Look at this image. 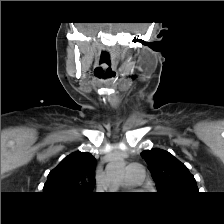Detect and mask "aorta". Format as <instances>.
Masks as SVG:
<instances>
[{
	"mask_svg": "<svg viewBox=\"0 0 224 224\" xmlns=\"http://www.w3.org/2000/svg\"><path fill=\"white\" fill-rule=\"evenodd\" d=\"M125 171V162L121 156L111 159L106 168L107 178L111 190H117L120 181L123 179Z\"/></svg>",
	"mask_w": 224,
	"mask_h": 224,
	"instance_id": "762f6f07",
	"label": "aorta"
}]
</instances>
